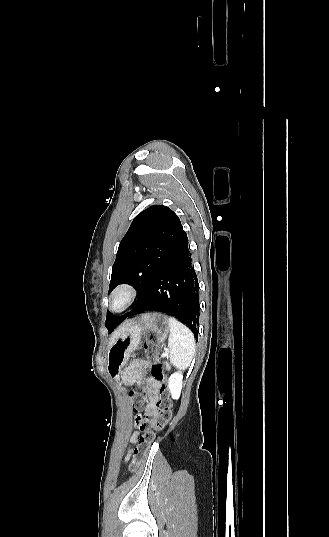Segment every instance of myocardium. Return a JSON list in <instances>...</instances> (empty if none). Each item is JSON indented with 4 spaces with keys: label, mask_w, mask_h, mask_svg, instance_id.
Instances as JSON below:
<instances>
[{
    "label": "myocardium",
    "mask_w": 329,
    "mask_h": 537,
    "mask_svg": "<svg viewBox=\"0 0 329 537\" xmlns=\"http://www.w3.org/2000/svg\"><path fill=\"white\" fill-rule=\"evenodd\" d=\"M137 295V290L133 285L128 283L120 284L109 294L108 309L113 313H122L134 304ZM119 296L124 297V302L122 306L117 309L114 307V301Z\"/></svg>",
    "instance_id": "1"
}]
</instances>
